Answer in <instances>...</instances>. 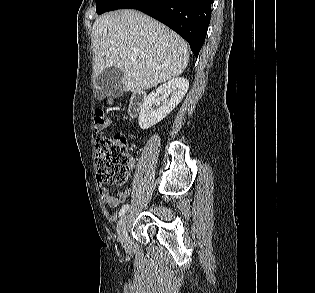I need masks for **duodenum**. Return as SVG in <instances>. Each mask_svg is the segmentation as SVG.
I'll return each instance as SVG.
<instances>
[{"label": "duodenum", "mask_w": 315, "mask_h": 293, "mask_svg": "<svg viewBox=\"0 0 315 293\" xmlns=\"http://www.w3.org/2000/svg\"><path fill=\"white\" fill-rule=\"evenodd\" d=\"M146 94L143 91H137L132 94L129 102L128 112L131 117H135L140 111L145 100Z\"/></svg>", "instance_id": "410a0bca"}]
</instances>
